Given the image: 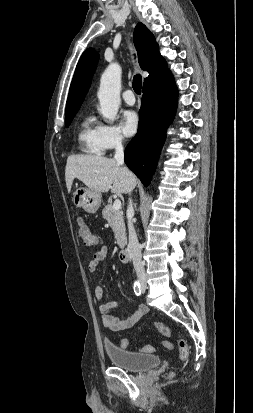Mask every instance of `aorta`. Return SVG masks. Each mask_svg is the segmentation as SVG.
Listing matches in <instances>:
<instances>
[{
    "instance_id": "762f6f07",
    "label": "aorta",
    "mask_w": 253,
    "mask_h": 413,
    "mask_svg": "<svg viewBox=\"0 0 253 413\" xmlns=\"http://www.w3.org/2000/svg\"><path fill=\"white\" fill-rule=\"evenodd\" d=\"M121 67L118 63H111L100 79L98 99L100 113L110 122L115 121L121 103Z\"/></svg>"
}]
</instances>
